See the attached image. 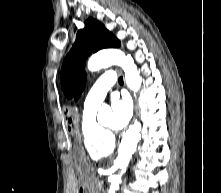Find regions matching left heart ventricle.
<instances>
[{"mask_svg":"<svg viewBox=\"0 0 221 193\" xmlns=\"http://www.w3.org/2000/svg\"><path fill=\"white\" fill-rule=\"evenodd\" d=\"M103 124L107 127H111L113 128L114 127V124H113V117L111 115H109L104 121H103Z\"/></svg>","mask_w":221,"mask_h":193,"instance_id":"left-heart-ventricle-1","label":"left heart ventricle"}]
</instances>
